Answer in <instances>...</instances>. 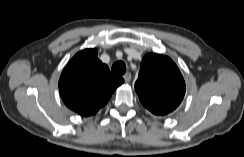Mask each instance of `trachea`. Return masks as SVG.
<instances>
[{
	"label": "trachea",
	"mask_w": 244,
	"mask_h": 157,
	"mask_svg": "<svg viewBox=\"0 0 244 157\" xmlns=\"http://www.w3.org/2000/svg\"><path fill=\"white\" fill-rule=\"evenodd\" d=\"M112 72L117 75H123L126 72V64L123 61H117L112 66Z\"/></svg>",
	"instance_id": "obj_1"
}]
</instances>
